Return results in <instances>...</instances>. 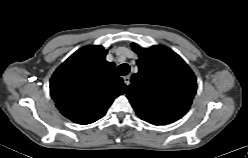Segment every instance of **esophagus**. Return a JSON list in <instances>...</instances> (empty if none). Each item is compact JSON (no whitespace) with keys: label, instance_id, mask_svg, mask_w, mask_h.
Listing matches in <instances>:
<instances>
[{"label":"esophagus","instance_id":"esophagus-1","mask_svg":"<svg viewBox=\"0 0 248 158\" xmlns=\"http://www.w3.org/2000/svg\"><path fill=\"white\" fill-rule=\"evenodd\" d=\"M123 80H124V83L128 86L130 84V76L127 75V76H124L123 77Z\"/></svg>","mask_w":248,"mask_h":158}]
</instances>
